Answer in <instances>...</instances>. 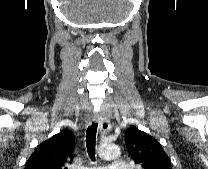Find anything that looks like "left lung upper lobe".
<instances>
[{
  "instance_id": "obj_1",
  "label": "left lung upper lobe",
  "mask_w": 208,
  "mask_h": 169,
  "mask_svg": "<svg viewBox=\"0 0 208 169\" xmlns=\"http://www.w3.org/2000/svg\"><path fill=\"white\" fill-rule=\"evenodd\" d=\"M125 141L132 159L144 169H172L170 158L154 137L132 126L125 132Z\"/></svg>"
}]
</instances>
